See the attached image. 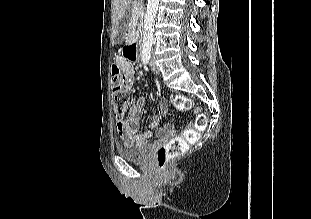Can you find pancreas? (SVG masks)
Here are the masks:
<instances>
[{
    "instance_id": "1",
    "label": "pancreas",
    "mask_w": 311,
    "mask_h": 219,
    "mask_svg": "<svg viewBox=\"0 0 311 219\" xmlns=\"http://www.w3.org/2000/svg\"><path fill=\"white\" fill-rule=\"evenodd\" d=\"M137 5L136 7H133L131 10V28H136L137 26L141 25V15H139V10L142 9L143 5L141 3V0L136 1ZM140 19V22H139Z\"/></svg>"
}]
</instances>
